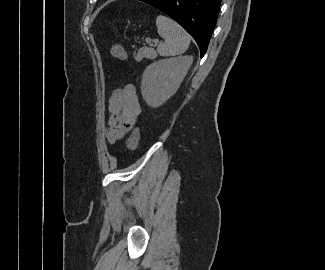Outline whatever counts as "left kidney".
I'll return each instance as SVG.
<instances>
[{
    "label": "left kidney",
    "instance_id": "left-kidney-1",
    "mask_svg": "<svg viewBox=\"0 0 325 270\" xmlns=\"http://www.w3.org/2000/svg\"><path fill=\"white\" fill-rule=\"evenodd\" d=\"M193 62L192 56L162 59L144 71L141 94L151 107H159L176 93Z\"/></svg>",
    "mask_w": 325,
    "mask_h": 270
}]
</instances>
